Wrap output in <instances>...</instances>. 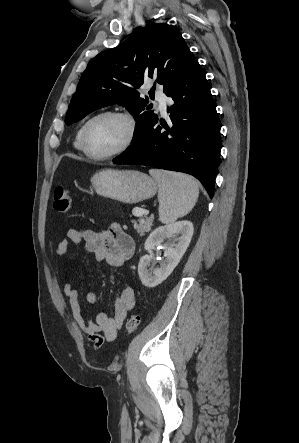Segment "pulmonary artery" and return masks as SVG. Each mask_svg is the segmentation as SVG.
I'll return each instance as SVG.
<instances>
[{
  "mask_svg": "<svg viewBox=\"0 0 299 443\" xmlns=\"http://www.w3.org/2000/svg\"><path fill=\"white\" fill-rule=\"evenodd\" d=\"M155 96H156V100H157L158 103H159V109H160V111H161L163 114H165V113H166V110H167V101H168L167 96H166V95L163 93V91L160 90V89L156 90V92H155Z\"/></svg>",
  "mask_w": 299,
  "mask_h": 443,
  "instance_id": "obj_1",
  "label": "pulmonary artery"
}]
</instances>
